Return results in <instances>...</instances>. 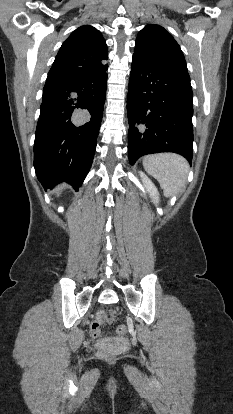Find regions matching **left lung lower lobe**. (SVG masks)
<instances>
[{"mask_svg":"<svg viewBox=\"0 0 233 414\" xmlns=\"http://www.w3.org/2000/svg\"><path fill=\"white\" fill-rule=\"evenodd\" d=\"M130 164L146 154L193 156V93L188 73L152 65L133 56L128 88Z\"/></svg>","mask_w":233,"mask_h":414,"instance_id":"obj_1","label":"left lung lower lobe"}]
</instances>
